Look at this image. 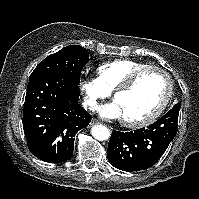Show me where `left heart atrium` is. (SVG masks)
I'll use <instances>...</instances> for the list:
<instances>
[{"instance_id": "left-heart-atrium-1", "label": "left heart atrium", "mask_w": 199, "mask_h": 199, "mask_svg": "<svg viewBox=\"0 0 199 199\" xmlns=\"http://www.w3.org/2000/svg\"><path fill=\"white\" fill-rule=\"evenodd\" d=\"M98 113L102 117L108 118V119H117V118L122 117L121 111L115 101L112 103L100 106L98 108Z\"/></svg>"}]
</instances>
